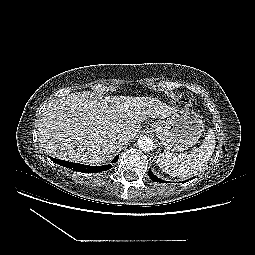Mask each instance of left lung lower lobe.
<instances>
[{
    "label": "left lung lower lobe",
    "mask_w": 255,
    "mask_h": 255,
    "mask_svg": "<svg viewBox=\"0 0 255 255\" xmlns=\"http://www.w3.org/2000/svg\"><path fill=\"white\" fill-rule=\"evenodd\" d=\"M148 175H149V177L151 178V180H153L154 182H162V183L166 182V181L161 180V179L158 178L157 176H155V175L152 173L151 169L149 170Z\"/></svg>",
    "instance_id": "left-lung-lower-lobe-1"
}]
</instances>
